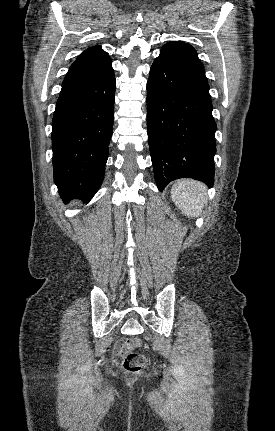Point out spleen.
<instances>
[{
	"instance_id": "3e777b00",
	"label": "spleen",
	"mask_w": 275,
	"mask_h": 431,
	"mask_svg": "<svg viewBox=\"0 0 275 431\" xmlns=\"http://www.w3.org/2000/svg\"><path fill=\"white\" fill-rule=\"evenodd\" d=\"M171 198L183 214L197 217L207 204L206 186L192 179L179 180L171 188Z\"/></svg>"
}]
</instances>
